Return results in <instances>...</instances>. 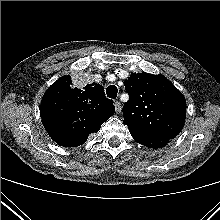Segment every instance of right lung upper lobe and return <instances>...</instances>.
I'll list each match as a JSON object with an SVG mask.
<instances>
[{
  "label": "right lung upper lobe",
  "instance_id": "1",
  "mask_svg": "<svg viewBox=\"0 0 220 220\" xmlns=\"http://www.w3.org/2000/svg\"><path fill=\"white\" fill-rule=\"evenodd\" d=\"M115 112L100 84L73 87L70 76L60 77L45 92L40 115L45 130L60 146L77 147L99 131Z\"/></svg>",
  "mask_w": 220,
  "mask_h": 220
}]
</instances>
